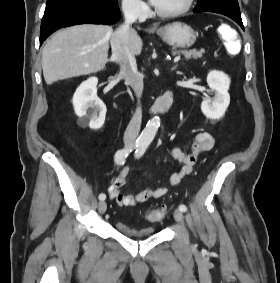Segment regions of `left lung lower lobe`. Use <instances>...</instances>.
<instances>
[{
  "instance_id": "left-lung-lower-lobe-1",
  "label": "left lung lower lobe",
  "mask_w": 280,
  "mask_h": 283,
  "mask_svg": "<svg viewBox=\"0 0 280 283\" xmlns=\"http://www.w3.org/2000/svg\"><path fill=\"white\" fill-rule=\"evenodd\" d=\"M199 11H195L194 10V13H197ZM231 19H233L236 23H238L242 29H244V26H243V23H242V19L241 18H238V17H230Z\"/></svg>"
}]
</instances>
